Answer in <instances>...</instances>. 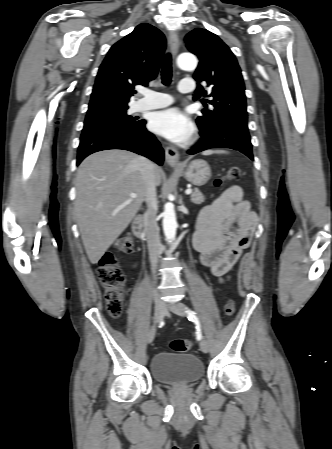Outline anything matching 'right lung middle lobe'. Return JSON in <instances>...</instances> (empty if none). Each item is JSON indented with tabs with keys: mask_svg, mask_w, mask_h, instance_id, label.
<instances>
[{
	"mask_svg": "<svg viewBox=\"0 0 332 449\" xmlns=\"http://www.w3.org/2000/svg\"><path fill=\"white\" fill-rule=\"evenodd\" d=\"M127 109L128 107L87 112L82 133L96 129L129 130L139 126L144 120L136 121V118L127 114Z\"/></svg>",
	"mask_w": 332,
	"mask_h": 449,
	"instance_id": "obj_1",
	"label": "right lung middle lobe"
}]
</instances>
